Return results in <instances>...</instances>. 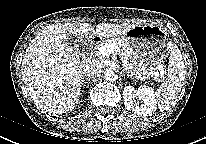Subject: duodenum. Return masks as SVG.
<instances>
[{
    "label": "duodenum",
    "mask_w": 206,
    "mask_h": 144,
    "mask_svg": "<svg viewBox=\"0 0 206 144\" xmlns=\"http://www.w3.org/2000/svg\"><path fill=\"white\" fill-rule=\"evenodd\" d=\"M99 42H100V37L99 36H93L89 41L90 48L96 47Z\"/></svg>",
    "instance_id": "duodenum-1"
}]
</instances>
